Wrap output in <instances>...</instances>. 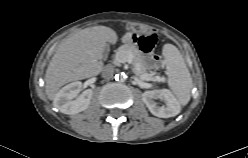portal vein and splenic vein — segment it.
I'll return each mask as SVG.
<instances>
[{
	"label": "portal vein and splenic vein",
	"mask_w": 248,
	"mask_h": 158,
	"mask_svg": "<svg viewBox=\"0 0 248 158\" xmlns=\"http://www.w3.org/2000/svg\"><path fill=\"white\" fill-rule=\"evenodd\" d=\"M124 61H126V62H128V63H131V62H132V59H131V58H127V59L124 60Z\"/></svg>",
	"instance_id": "portal-vein-and-splenic-vein-1"
}]
</instances>
